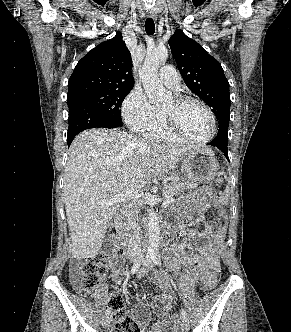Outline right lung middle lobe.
<instances>
[{"label":"right lung middle lobe","mask_w":291,"mask_h":332,"mask_svg":"<svg viewBox=\"0 0 291 332\" xmlns=\"http://www.w3.org/2000/svg\"><path fill=\"white\" fill-rule=\"evenodd\" d=\"M131 89L92 91L67 98L69 109L77 104H88L104 113L117 127L122 126L120 107Z\"/></svg>","instance_id":"right-lung-middle-lobe-1"}]
</instances>
